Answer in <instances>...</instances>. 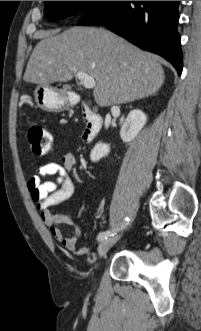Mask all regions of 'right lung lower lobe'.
<instances>
[{
  "instance_id": "right-lung-lower-lobe-1",
  "label": "right lung lower lobe",
  "mask_w": 201,
  "mask_h": 331,
  "mask_svg": "<svg viewBox=\"0 0 201 331\" xmlns=\"http://www.w3.org/2000/svg\"><path fill=\"white\" fill-rule=\"evenodd\" d=\"M180 1H101L77 25H104L134 45L167 59L182 72L177 32Z\"/></svg>"
}]
</instances>
